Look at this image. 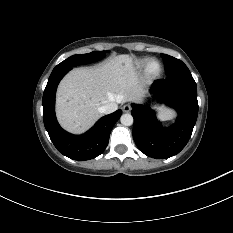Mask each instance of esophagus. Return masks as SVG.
I'll use <instances>...</instances> for the list:
<instances>
[{
	"label": "esophagus",
	"mask_w": 233,
	"mask_h": 233,
	"mask_svg": "<svg viewBox=\"0 0 233 233\" xmlns=\"http://www.w3.org/2000/svg\"><path fill=\"white\" fill-rule=\"evenodd\" d=\"M131 109H132V108H131V106H130L129 104H125V105L123 106V111L126 112V113L130 112Z\"/></svg>",
	"instance_id": "1"
}]
</instances>
